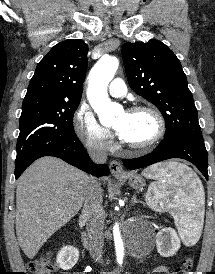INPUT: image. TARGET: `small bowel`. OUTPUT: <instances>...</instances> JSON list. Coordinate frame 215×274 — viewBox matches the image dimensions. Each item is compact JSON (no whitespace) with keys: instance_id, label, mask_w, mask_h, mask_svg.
Instances as JSON below:
<instances>
[{"instance_id":"small-bowel-1","label":"small bowel","mask_w":215,"mask_h":274,"mask_svg":"<svg viewBox=\"0 0 215 274\" xmlns=\"http://www.w3.org/2000/svg\"><path fill=\"white\" fill-rule=\"evenodd\" d=\"M153 272L158 273V274H173L169 271L168 267L166 265H159L156 266L153 269ZM63 274H69V273H63ZM74 274H80V273H74Z\"/></svg>"}]
</instances>
